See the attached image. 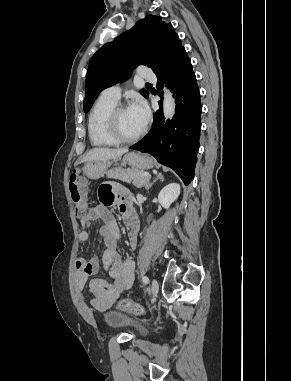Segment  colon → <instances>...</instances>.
I'll return each mask as SVG.
<instances>
[{
    "label": "colon",
    "instance_id": "obj_1",
    "mask_svg": "<svg viewBox=\"0 0 291 381\" xmlns=\"http://www.w3.org/2000/svg\"><path fill=\"white\" fill-rule=\"evenodd\" d=\"M69 190L71 201L74 206L76 215L82 217L87 212V201L85 195V186L81 176L78 173H73L70 176L69 180ZM102 202H107V196H100ZM117 308L121 311L132 313L134 315L143 316L145 314L144 307L131 300V299H122L118 302Z\"/></svg>",
    "mask_w": 291,
    "mask_h": 381
}]
</instances>
